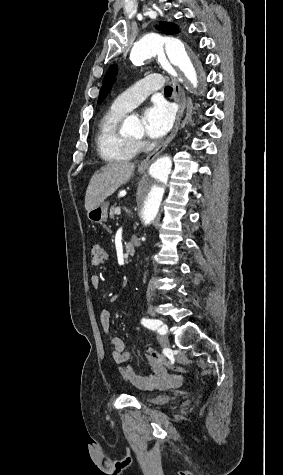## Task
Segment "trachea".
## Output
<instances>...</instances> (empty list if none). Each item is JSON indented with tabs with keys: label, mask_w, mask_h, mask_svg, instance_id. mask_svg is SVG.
<instances>
[{
	"label": "trachea",
	"mask_w": 283,
	"mask_h": 475,
	"mask_svg": "<svg viewBox=\"0 0 283 475\" xmlns=\"http://www.w3.org/2000/svg\"><path fill=\"white\" fill-rule=\"evenodd\" d=\"M164 92H165V94H171L172 93V87H165Z\"/></svg>",
	"instance_id": "trachea-1"
}]
</instances>
